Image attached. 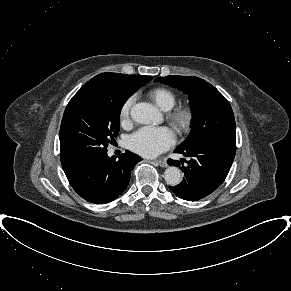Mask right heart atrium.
I'll return each instance as SVG.
<instances>
[{"instance_id": "obj_1", "label": "right heart atrium", "mask_w": 291, "mask_h": 291, "mask_svg": "<svg viewBox=\"0 0 291 291\" xmlns=\"http://www.w3.org/2000/svg\"><path fill=\"white\" fill-rule=\"evenodd\" d=\"M134 97H128L122 104L120 111H119V120L122 125H125L130 120V113L132 106L134 104Z\"/></svg>"}]
</instances>
